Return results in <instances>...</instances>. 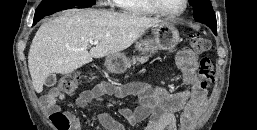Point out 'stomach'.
Listing matches in <instances>:
<instances>
[{
	"instance_id": "1",
	"label": "stomach",
	"mask_w": 257,
	"mask_h": 130,
	"mask_svg": "<svg viewBox=\"0 0 257 130\" xmlns=\"http://www.w3.org/2000/svg\"><path fill=\"white\" fill-rule=\"evenodd\" d=\"M180 41L178 30L170 22H162L151 28V39L147 46L141 48L142 53L154 54L158 50H172ZM127 58L123 53L106 56L104 66L111 73L120 74L126 70Z\"/></svg>"
}]
</instances>
